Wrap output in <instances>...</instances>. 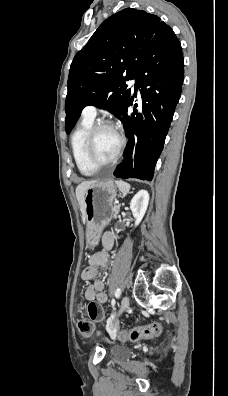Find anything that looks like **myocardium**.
Segmentation results:
<instances>
[{"instance_id":"f54148a6","label":"myocardium","mask_w":228,"mask_h":396,"mask_svg":"<svg viewBox=\"0 0 228 396\" xmlns=\"http://www.w3.org/2000/svg\"><path fill=\"white\" fill-rule=\"evenodd\" d=\"M104 127H110L117 133V135L119 137V146H118V149H117L115 155L112 157V159H110L109 161H107L105 163H99L94 159L92 150H93V143H94L96 133L101 128H104ZM125 143H126L125 137L120 132V130L118 129V127L116 125H114L112 122L107 121V120L99 121V122L93 124V126L91 127V129L88 132V135H87V138L85 141V146H84L85 158H86L88 164L95 169H100V168L111 166L114 163H116L118 161V159L121 157L122 152L125 147Z\"/></svg>"}]
</instances>
